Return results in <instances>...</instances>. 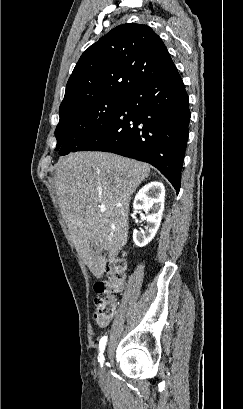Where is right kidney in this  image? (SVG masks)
Masks as SVG:
<instances>
[{
	"instance_id": "ca27d5eb",
	"label": "right kidney",
	"mask_w": 243,
	"mask_h": 409,
	"mask_svg": "<svg viewBox=\"0 0 243 409\" xmlns=\"http://www.w3.org/2000/svg\"><path fill=\"white\" fill-rule=\"evenodd\" d=\"M165 188L161 182L153 181L146 184L136 194L133 208L143 209L146 215L143 217L146 223L145 230H134L133 240L136 246H146L155 236L162 219L164 210ZM151 210V213H148Z\"/></svg>"
}]
</instances>
